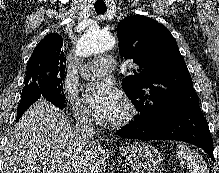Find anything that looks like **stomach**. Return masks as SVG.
Here are the masks:
<instances>
[{"instance_id":"obj_1","label":"stomach","mask_w":219,"mask_h":173,"mask_svg":"<svg viewBox=\"0 0 219 173\" xmlns=\"http://www.w3.org/2000/svg\"><path fill=\"white\" fill-rule=\"evenodd\" d=\"M125 163L134 173H154L161 164L157 149L145 142H135L123 148Z\"/></svg>"}]
</instances>
